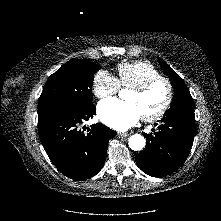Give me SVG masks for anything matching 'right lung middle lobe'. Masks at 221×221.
<instances>
[{"label": "right lung middle lobe", "mask_w": 221, "mask_h": 221, "mask_svg": "<svg viewBox=\"0 0 221 221\" xmlns=\"http://www.w3.org/2000/svg\"><path fill=\"white\" fill-rule=\"evenodd\" d=\"M99 66L85 59H71L52 74L38 101V113L64 105L92 102L94 74Z\"/></svg>", "instance_id": "dd1d6c3e"}]
</instances>
